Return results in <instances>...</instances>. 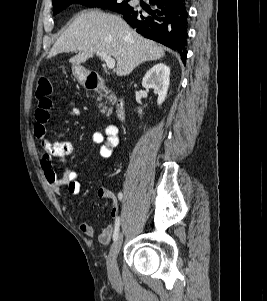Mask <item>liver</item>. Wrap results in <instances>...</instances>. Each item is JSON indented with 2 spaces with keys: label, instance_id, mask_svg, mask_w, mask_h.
<instances>
[{
  "label": "liver",
  "instance_id": "1",
  "mask_svg": "<svg viewBox=\"0 0 267 301\" xmlns=\"http://www.w3.org/2000/svg\"><path fill=\"white\" fill-rule=\"evenodd\" d=\"M78 52L69 62L79 66L97 52L116 59V74L129 75L139 64L165 56L164 49L133 30L120 16L98 10L81 12L51 48L48 58Z\"/></svg>",
  "mask_w": 267,
  "mask_h": 301
}]
</instances>
